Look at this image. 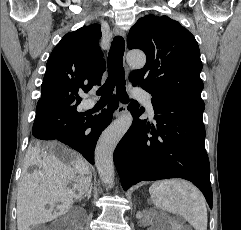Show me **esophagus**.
<instances>
[{
  "instance_id": "34e87169",
  "label": "esophagus",
  "mask_w": 241,
  "mask_h": 230,
  "mask_svg": "<svg viewBox=\"0 0 241 230\" xmlns=\"http://www.w3.org/2000/svg\"><path fill=\"white\" fill-rule=\"evenodd\" d=\"M114 34L120 35L122 37L125 36V32L123 30L119 29V28H116L114 30ZM125 73H126V76L129 75V68H128L127 65H125ZM126 111H127V106L123 103H120L118 109L115 112V118H119V117L123 116L126 113Z\"/></svg>"
}]
</instances>
